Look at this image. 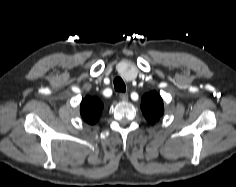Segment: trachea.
Returning a JSON list of instances; mask_svg holds the SVG:
<instances>
[{
    "label": "trachea",
    "mask_w": 236,
    "mask_h": 187,
    "mask_svg": "<svg viewBox=\"0 0 236 187\" xmlns=\"http://www.w3.org/2000/svg\"><path fill=\"white\" fill-rule=\"evenodd\" d=\"M114 88L117 92H125L126 86L121 77H116L114 79Z\"/></svg>",
    "instance_id": "3493384b"
}]
</instances>
